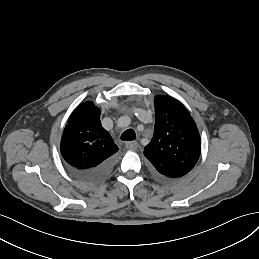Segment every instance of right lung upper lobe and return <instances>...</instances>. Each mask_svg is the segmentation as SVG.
<instances>
[{
    "label": "right lung upper lobe",
    "mask_w": 259,
    "mask_h": 259,
    "mask_svg": "<svg viewBox=\"0 0 259 259\" xmlns=\"http://www.w3.org/2000/svg\"><path fill=\"white\" fill-rule=\"evenodd\" d=\"M60 151L64 160L77 169L94 168L118 151L110 134L101 126L100 109L92 102L82 103L72 113Z\"/></svg>",
    "instance_id": "cb5924a9"
}]
</instances>
